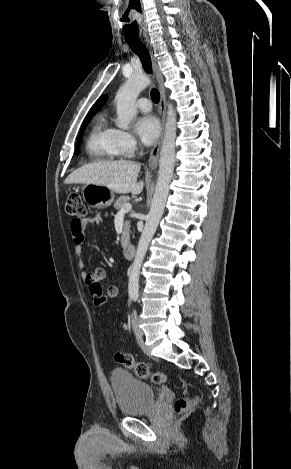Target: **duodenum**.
I'll use <instances>...</instances> for the list:
<instances>
[{
    "label": "duodenum",
    "mask_w": 291,
    "mask_h": 469,
    "mask_svg": "<svg viewBox=\"0 0 291 469\" xmlns=\"http://www.w3.org/2000/svg\"><path fill=\"white\" fill-rule=\"evenodd\" d=\"M136 252V247L133 244H127L124 246V256L127 259H131L134 257Z\"/></svg>",
    "instance_id": "obj_1"
}]
</instances>
